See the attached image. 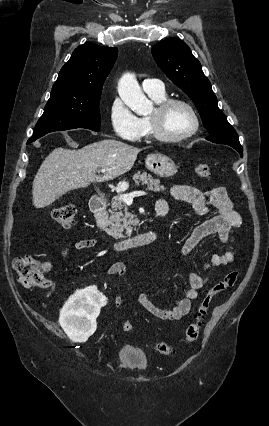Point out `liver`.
I'll return each instance as SVG.
<instances>
[{"instance_id": "6515ba94", "label": "liver", "mask_w": 269, "mask_h": 426, "mask_svg": "<svg viewBox=\"0 0 269 426\" xmlns=\"http://www.w3.org/2000/svg\"><path fill=\"white\" fill-rule=\"evenodd\" d=\"M140 149L106 139L78 150L54 149L41 164L33 180V205L44 208L66 192L89 186L92 182L112 180L134 165ZM98 168L106 169L96 175Z\"/></svg>"}]
</instances>
